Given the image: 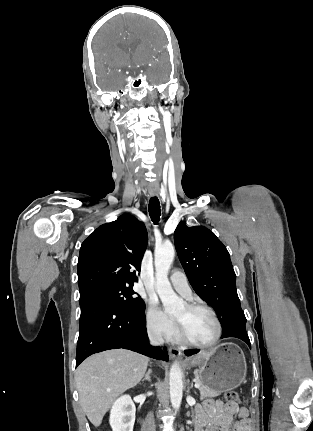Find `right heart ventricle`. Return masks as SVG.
I'll list each match as a JSON object with an SVG mask.
<instances>
[{"instance_id":"1","label":"right heart ventricle","mask_w":313,"mask_h":431,"mask_svg":"<svg viewBox=\"0 0 313 431\" xmlns=\"http://www.w3.org/2000/svg\"><path fill=\"white\" fill-rule=\"evenodd\" d=\"M171 338L176 339V337L174 335Z\"/></svg>"}]
</instances>
